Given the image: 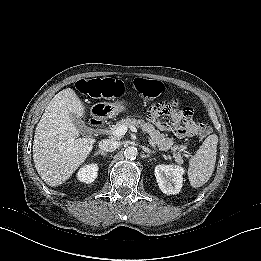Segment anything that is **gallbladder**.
<instances>
[{
    "label": "gallbladder",
    "mask_w": 261,
    "mask_h": 261,
    "mask_svg": "<svg viewBox=\"0 0 261 261\" xmlns=\"http://www.w3.org/2000/svg\"><path fill=\"white\" fill-rule=\"evenodd\" d=\"M75 123L82 131H86L87 128L84 123L80 122L78 119L75 120Z\"/></svg>",
    "instance_id": "gallbladder-1"
}]
</instances>
